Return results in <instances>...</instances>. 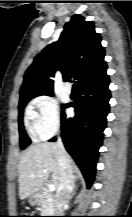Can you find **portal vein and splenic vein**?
<instances>
[{
    "label": "portal vein and splenic vein",
    "instance_id": "18ae733b",
    "mask_svg": "<svg viewBox=\"0 0 132 217\" xmlns=\"http://www.w3.org/2000/svg\"><path fill=\"white\" fill-rule=\"evenodd\" d=\"M48 188L51 192L55 190V186L53 184H49Z\"/></svg>",
    "mask_w": 132,
    "mask_h": 217
}]
</instances>
